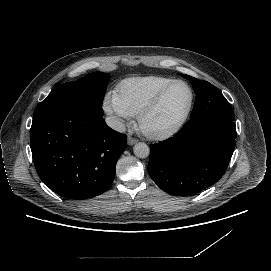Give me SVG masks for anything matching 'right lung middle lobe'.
<instances>
[{"instance_id": "obj_1", "label": "right lung middle lobe", "mask_w": 271, "mask_h": 271, "mask_svg": "<svg viewBox=\"0 0 271 271\" xmlns=\"http://www.w3.org/2000/svg\"><path fill=\"white\" fill-rule=\"evenodd\" d=\"M108 79L107 73L94 72L75 82L57 86L36 107L33 117L57 110H94L103 115L101 106Z\"/></svg>"}]
</instances>
